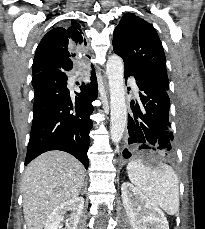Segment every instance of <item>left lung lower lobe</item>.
<instances>
[{"label": "left lung lower lobe", "instance_id": "obj_1", "mask_svg": "<svg viewBox=\"0 0 205 229\" xmlns=\"http://www.w3.org/2000/svg\"><path fill=\"white\" fill-rule=\"evenodd\" d=\"M125 79L133 76L139 87L138 102L131 103L133 115H128V150L123 156L128 158L130 152L149 149L164 156L173 155V133L169 122L170 100L168 91L161 86L144 80L126 71Z\"/></svg>", "mask_w": 205, "mask_h": 229}]
</instances>
